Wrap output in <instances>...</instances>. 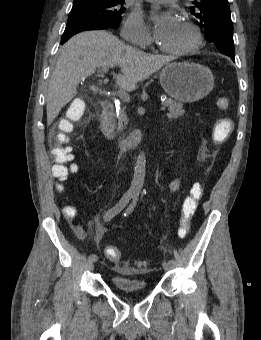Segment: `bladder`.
<instances>
[{
  "instance_id": "31cf9c89",
  "label": "bladder",
  "mask_w": 261,
  "mask_h": 340,
  "mask_svg": "<svg viewBox=\"0 0 261 340\" xmlns=\"http://www.w3.org/2000/svg\"><path fill=\"white\" fill-rule=\"evenodd\" d=\"M112 283L121 293H141L147 290V284L140 278L114 276Z\"/></svg>"
}]
</instances>
